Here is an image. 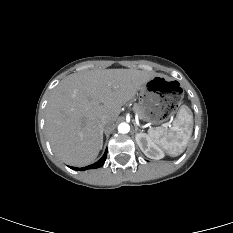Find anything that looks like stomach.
<instances>
[{"instance_id": "1", "label": "stomach", "mask_w": 233, "mask_h": 233, "mask_svg": "<svg viewBox=\"0 0 233 233\" xmlns=\"http://www.w3.org/2000/svg\"><path fill=\"white\" fill-rule=\"evenodd\" d=\"M184 97L180 82L173 77L155 75L139 90V117L152 124L166 122Z\"/></svg>"}]
</instances>
